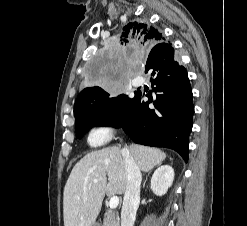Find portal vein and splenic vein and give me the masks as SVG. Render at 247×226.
Masks as SVG:
<instances>
[{"mask_svg":"<svg viewBox=\"0 0 247 226\" xmlns=\"http://www.w3.org/2000/svg\"><path fill=\"white\" fill-rule=\"evenodd\" d=\"M94 183H97L98 180H93ZM119 204V197L118 196H113L111 197L110 201H109V207L110 209H115Z\"/></svg>","mask_w":247,"mask_h":226,"instance_id":"obj_1","label":"portal vein and splenic vein"}]
</instances>
